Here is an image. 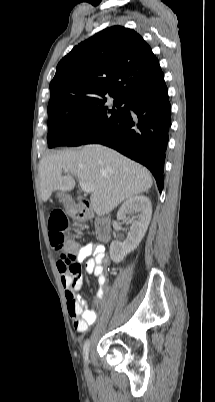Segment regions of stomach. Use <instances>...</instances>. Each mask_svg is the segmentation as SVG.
<instances>
[{
	"mask_svg": "<svg viewBox=\"0 0 215 402\" xmlns=\"http://www.w3.org/2000/svg\"><path fill=\"white\" fill-rule=\"evenodd\" d=\"M59 196L62 197V198H64V195H63V194H59Z\"/></svg>",
	"mask_w": 215,
	"mask_h": 402,
	"instance_id": "0dacf381",
	"label": "stomach"
}]
</instances>
